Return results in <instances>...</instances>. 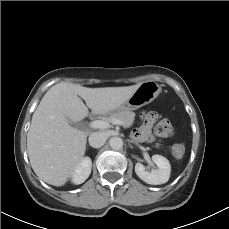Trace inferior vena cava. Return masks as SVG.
Masks as SVG:
<instances>
[{"label":"inferior vena cava","mask_w":229,"mask_h":229,"mask_svg":"<svg viewBox=\"0 0 229 229\" xmlns=\"http://www.w3.org/2000/svg\"><path fill=\"white\" fill-rule=\"evenodd\" d=\"M106 142V137L103 133L94 132L89 136V144L93 148H100Z\"/></svg>","instance_id":"inferior-vena-cava-1"}]
</instances>
